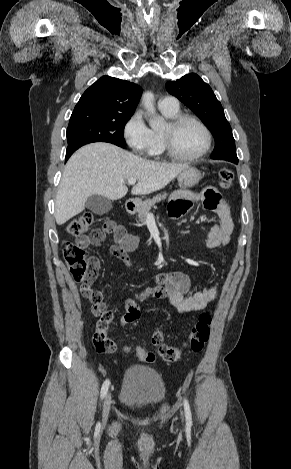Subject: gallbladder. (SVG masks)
Listing matches in <instances>:
<instances>
[{
	"label": "gallbladder",
	"mask_w": 291,
	"mask_h": 469,
	"mask_svg": "<svg viewBox=\"0 0 291 469\" xmlns=\"http://www.w3.org/2000/svg\"><path fill=\"white\" fill-rule=\"evenodd\" d=\"M86 208L95 214L103 215L112 209V201L104 196L94 194L87 199Z\"/></svg>",
	"instance_id": "1"
}]
</instances>
